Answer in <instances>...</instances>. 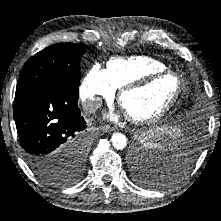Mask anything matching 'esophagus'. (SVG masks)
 Listing matches in <instances>:
<instances>
[{
  "label": "esophagus",
  "instance_id": "1",
  "mask_svg": "<svg viewBox=\"0 0 221 221\" xmlns=\"http://www.w3.org/2000/svg\"><path fill=\"white\" fill-rule=\"evenodd\" d=\"M100 130H101L102 132H104V133H110V132L113 131V129H112L110 126H108V125H102V126L100 127Z\"/></svg>",
  "mask_w": 221,
  "mask_h": 221
}]
</instances>
